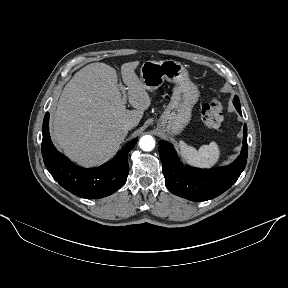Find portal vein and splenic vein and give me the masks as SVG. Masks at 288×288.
Returning <instances> with one entry per match:
<instances>
[{
    "label": "portal vein and splenic vein",
    "instance_id": "portal-vein-and-splenic-vein-1",
    "mask_svg": "<svg viewBox=\"0 0 288 288\" xmlns=\"http://www.w3.org/2000/svg\"><path fill=\"white\" fill-rule=\"evenodd\" d=\"M127 101V94L125 93V91H123V99L122 102L125 104Z\"/></svg>",
    "mask_w": 288,
    "mask_h": 288
}]
</instances>
